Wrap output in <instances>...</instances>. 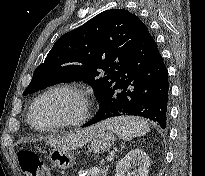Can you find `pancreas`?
<instances>
[{
    "mask_svg": "<svg viewBox=\"0 0 205 176\" xmlns=\"http://www.w3.org/2000/svg\"><path fill=\"white\" fill-rule=\"evenodd\" d=\"M109 169V165L93 167L89 170V176H106Z\"/></svg>",
    "mask_w": 205,
    "mask_h": 176,
    "instance_id": "pancreas-1",
    "label": "pancreas"
}]
</instances>
